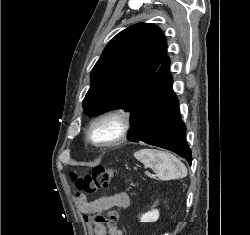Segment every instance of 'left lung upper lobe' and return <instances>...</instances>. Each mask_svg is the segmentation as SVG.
I'll list each match as a JSON object with an SVG mask.
<instances>
[{"label": "left lung upper lobe", "mask_w": 250, "mask_h": 235, "mask_svg": "<svg viewBox=\"0 0 250 235\" xmlns=\"http://www.w3.org/2000/svg\"><path fill=\"white\" fill-rule=\"evenodd\" d=\"M161 29L139 23L118 33L91 72L83 108L92 117L109 109L132 111L150 81L168 59Z\"/></svg>", "instance_id": "obj_1"}]
</instances>
